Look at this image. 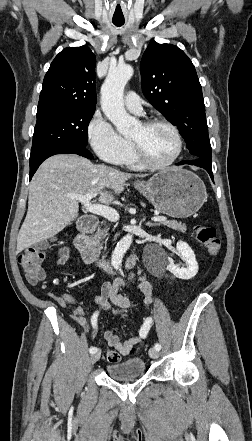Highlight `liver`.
<instances>
[{
    "mask_svg": "<svg viewBox=\"0 0 252 441\" xmlns=\"http://www.w3.org/2000/svg\"><path fill=\"white\" fill-rule=\"evenodd\" d=\"M132 176L105 165H95L74 154L48 158L40 165L29 186L28 211L17 237V253L55 236L72 224L78 217L79 201L69 195L96 193L99 202L109 205L114 197L105 188L119 195Z\"/></svg>",
    "mask_w": 252,
    "mask_h": 441,
    "instance_id": "6515ba94",
    "label": "liver"
}]
</instances>
